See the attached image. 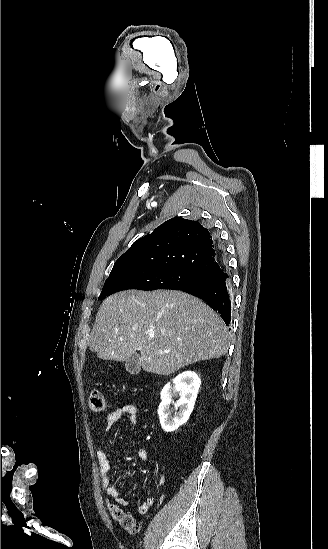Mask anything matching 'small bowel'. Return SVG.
<instances>
[{"instance_id":"1","label":"small bowel","mask_w":328,"mask_h":549,"mask_svg":"<svg viewBox=\"0 0 328 549\" xmlns=\"http://www.w3.org/2000/svg\"><path fill=\"white\" fill-rule=\"evenodd\" d=\"M138 407L135 404H124L123 406L113 410L106 420L105 431L108 432L112 426L120 421L123 417H126L133 425L137 424ZM97 462L99 466V472L101 476V484L106 490V494L112 498L117 505L127 506L128 500L120 495L119 490L113 486L110 476L111 466L108 461L106 452L103 448H99L96 452ZM147 458V450L141 447L136 454V459L145 460ZM165 482V476L161 475L157 481L158 486H162ZM158 496L148 497L144 503L140 506L139 511L142 514L147 513L150 508L156 503Z\"/></svg>"}]
</instances>
